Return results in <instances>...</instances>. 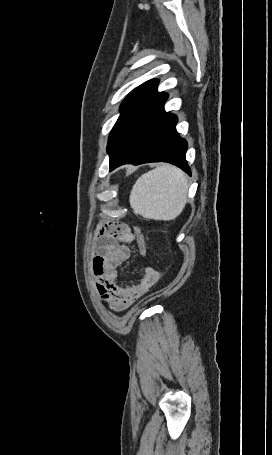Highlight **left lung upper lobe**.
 Instances as JSON below:
<instances>
[{
    "mask_svg": "<svg viewBox=\"0 0 272 455\" xmlns=\"http://www.w3.org/2000/svg\"><path fill=\"white\" fill-rule=\"evenodd\" d=\"M157 85L158 80H149L128 94L126 99L121 104V114L109 135L107 145L108 152L128 121L154 97L160 94L157 92Z\"/></svg>",
    "mask_w": 272,
    "mask_h": 455,
    "instance_id": "left-lung-upper-lobe-1",
    "label": "left lung upper lobe"
}]
</instances>
